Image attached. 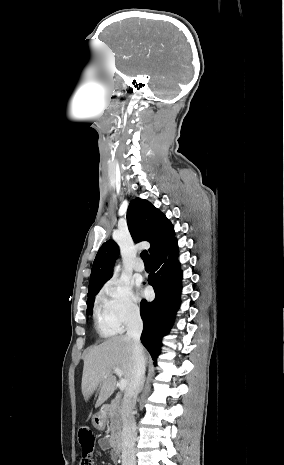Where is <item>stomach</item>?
<instances>
[{
  "label": "stomach",
  "instance_id": "0dacf381",
  "mask_svg": "<svg viewBox=\"0 0 284 465\" xmlns=\"http://www.w3.org/2000/svg\"><path fill=\"white\" fill-rule=\"evenodd\" d=\"M92 425L95 427V429H98V431H104L106 425H107V419L105 413H95L92 417Z\"/></svg>",
  "mask_w": 284,
  "mask_h": 465
}]
</instances>
